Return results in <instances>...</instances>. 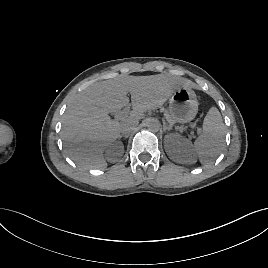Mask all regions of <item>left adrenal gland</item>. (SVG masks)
<instances>
[{
    "label": "left adrenal gland",
    "instance_id": "obj_1",
    "mask_svg": "<svg viewBox=\"0 0 268 268\" xmlns=\"http://www.w3.org/2000/svg\"><path fill=\"white\" fill-rule=\"evenodd\" d=\"M167 130H169V127H167L165 124L163 125V131L166 132Z\"/></svg>",
    "mask_w": 268,
    "mask_h": 268
}]
</instances>
